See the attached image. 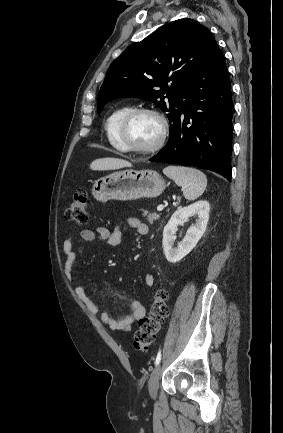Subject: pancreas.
I'll list each match as a JSON object with an SVG mask.
<instances>
[{"mask_svg": "<svg viewBox=\"0 0 283 433\" xmlns=\"http://www.w3.org/2000/svg\"><path fill=\"white\" fill-rule=\"evenodd\" d=\"M140 210H143V217H147V221H149V223H154V221H158V219H160V214H156V212H149V210H147V208H140Z\"/></svg>", "mask_w": 283, "mask_h": 433, "instance_id": "cf45deb5", "label": "pancreas"}]
</instances>
